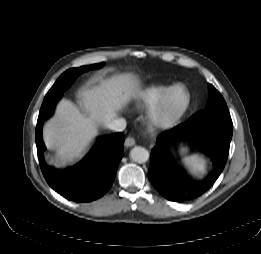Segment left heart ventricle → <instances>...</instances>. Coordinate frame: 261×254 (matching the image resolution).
Segmentation results:
<instances>
[{
	"label": "left heart ventricle",
	"mask_w": 261,
	"mask_h": 254,
	"mask_svg": "<svg viewBox=\"0 0 261 254\" xmlns=\"http://www.w3.org/2000/svg\"><path fill=\"white\" fill-rule=\"evenodd\" d=\"M185 100V94L182 90H174L168 98L167 110L170 112H176L183 104Z\"/></svg>",
	"instance_id": "b2bd125f"
}]
</instances>
